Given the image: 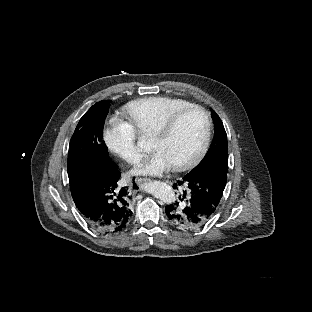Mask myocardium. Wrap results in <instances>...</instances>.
I'll list each match as a JSON object with an SVG mask.
<instances>
[{"label":"myocardium","mask_w":312,"mask_h":312,"mask_svg":"<svg viewBox=\"0 0 312 312\" xmlns=\"http://www.w3.org/2000/svg\"><path fill=\"white\" fill-rule=\"evenodd\" d=\"M186 117H194L199 119V129L201 135V148L199 151L186 158V160L180 162H174L170 165V170L174 173H182L189 168L196 167L198 162L203 161L206 156L209 155L212 147V125L210 124V117L205 110L194 107L184 106L181 109L170 112L166 121L163 122L162 128L158 130V136L156 138L157 143L162 144L165 141V137L169 135L171 129L180 120Z\"/></svg>","instance_id":"obj_1"}]
</instances>
